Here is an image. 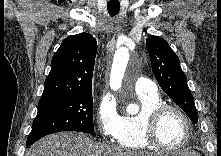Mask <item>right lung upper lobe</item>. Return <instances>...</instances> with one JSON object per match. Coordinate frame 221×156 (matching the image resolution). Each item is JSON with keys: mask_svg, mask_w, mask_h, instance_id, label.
I'll return each instance as SVG.
<instances>
[{"mask_svg": "<svg viewBox=\"0 0 221 156\" xmlns=\"http://www.w3.org/2000/svg\"><path fill=\"white\" fill-rule=\"evenodd\" d=\"M97 42L90 34L67 37L52 57L41 98L92 90Z\"/></svg>", "mask_w": 221, "mask_h": 156, "instance_id": "1", "label": "right lung upper lobe"}]
</instances>
